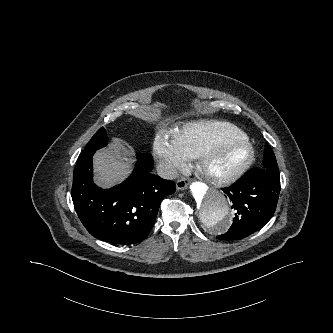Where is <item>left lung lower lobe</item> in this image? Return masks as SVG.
<instances>
[{
    "label": "left lung lower lobe",
    "mask_w": 333,
    "mask_h": 333,
    "mask_svg": "<svg viewBox=\"0 0 333 333\" xmlns=\"http://www.w3.org/2000/svg\"><path fill=\"white\" fill-rule=\"evenodd\" d=\"M265 152H272L266 144ZM235 209L233 224L221 240H238L262 228L273 216L280 193V175L261 168L249 170L237 183L222 188Z\"/></svg>",
    "instance_id": "1"
}]
</instances>
